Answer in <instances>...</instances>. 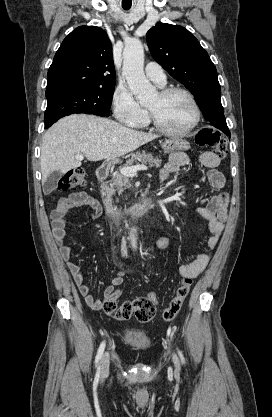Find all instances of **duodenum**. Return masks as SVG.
Instances as JSON below:
<instances>
[{
    "label": "duodenum",
    "instance_id": "obj_1",
    "mask_svg": "<svg viewBox=\"0 0 272 417\" xmlns=\"http://www.w3.org/2000/svg\"><path fill=\"white\" fill-rule=\"evenodd\" d=\"M112 170L111 163H103L96 170V177L99 181H104ZM102 202L107 214L113 219H119L128 216H137L145 213L155 206L154 196H148L129 207H119L115 204L113 197L106 187H102Z\"/></svg>",
    "mask_w": 272,
    "mask_h": 417
}]
</instances>
